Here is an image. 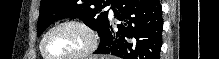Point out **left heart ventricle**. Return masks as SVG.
<instances>
[{
  "instance_id": "b2bd125f",
  "label": "left heart ventricle",
  "mask_w": 219,
  "mask_h": 59,
  "mask_svg": "<svg viewBox=\"0 0 219 59\" xmlns=\"http://www.w3.org/2000/svg\"><path fill=\"white\" fill-rule=\"evenodd\" d=\"M85 33L74 26H64L54 30L46 39L45 49L53 57L71 56L85 48Z\"/></svg>"
}]
</instances>
